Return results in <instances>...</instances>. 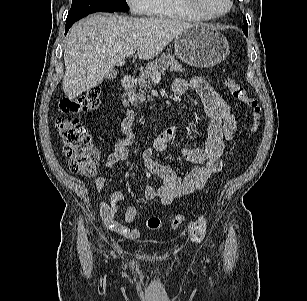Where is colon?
I'll return each instance as SVG.
<instances>
[{
	"mask_svg": "<svg viewBox=\"0 0 307 301\" xmlns=\"http://www.w3.org/2000/svg\"><path fill=\"white\" fill-rule=\"evenodd\" d=\"M224 86L233 99L245 104L250 109V132L255 133L262 120L259 101L248 95L244 87L233 78H226ZM99 104L100 89L97 87L88 89L75 98H64L59 104L61 115L56 119V127L65 156L68 158L69 168L74 173L85 176L95 175L101 156L92 144L88 129L78 119L62 115L89 112L98 108ZM185 223V216L178 214L171 218L170 227L173 230H178ZM161 226L162 221L157 217H151L147 221V227L150 230H157ZM205 230L206 218L202 215L195 223L191 224V231L194 236L200 237Z\"/></svg>",
	"mask_w": 307,
	"mask_h": 301,
	"instance_id": "obj_1",
	"label": "colon"
}]
</instances>
